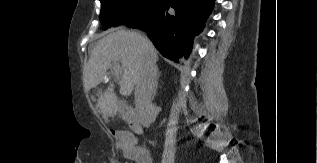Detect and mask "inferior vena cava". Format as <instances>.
Here are the masks:
<instances>
[{"label":"inferior vena cava","mask_w":317,"mask_h":163,"mask_svg":"<svg viewBox=\"0 0 317 163\" xmlns=\"http://www.w3.org/2000/svg\"><path fill=\"white\" fill-rule=\"evenodd\" d=\"M144 46L146 56L135 88V105L140 122L148 127L154 117L152 99L155 94L157 67L151 44L147 39L144 40Z\"/></svg>","instance_id":"1"}]
</instances>
